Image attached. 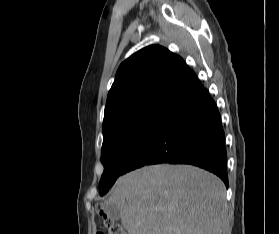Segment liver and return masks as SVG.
<instances>
[{"mask_svg":"<svg viewBox=\"0 0 279 234\" xmlns=\"http://www.w3.org/2000/svg\"><path fill=\"white\" fill-rule=\"evenodd\" d=\"M105 205H116L128 234H224L226 190L190 165H153L120 177Z\"/></svg>","mask_w":279,"mask_h":234,"instance_id":"obj_1","label":"liver"}]
</instances>
